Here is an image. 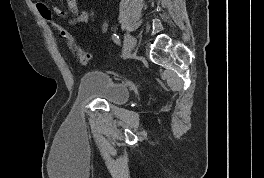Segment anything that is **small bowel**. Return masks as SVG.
I'll list each match as a JSON object with an SVG mask.
<instances>
[{"label": "small bowel", "instance_id": "1", "mask_svg": "<svg viewBox=\"0 0 264 178\" xmlns=\"http://www.w3.org/2000/svg\"><path fill=\"white\" fill-rule=\"evenodd\" d=\"M66 7L64 9L55 5L48 6L50 10L63 18H69L72 25L86 23L89 20V13L87 10H80L76 0H65Z\"/></svg>", "mask_w": 264, "mask_h": 178}]
</instances>
